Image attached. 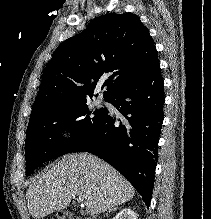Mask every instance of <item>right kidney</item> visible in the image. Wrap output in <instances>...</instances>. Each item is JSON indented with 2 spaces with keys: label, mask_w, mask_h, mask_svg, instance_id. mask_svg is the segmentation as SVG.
<instances>
[{
  "label": "right kidney",
  "mask_w": 211,
  "mask_h": 219,
  "mask_svg": "<svg viewBox=\"0 0 211 219\" xmlns=\"http://www.w3.org/2000/svg\"><path fill=\"white\" fill-rule=\"evenodd\" d=\"M113 219H137V214L130 208H124Z\"/></svg>",
  "instance_id": "obj_1"
}]
</instances>
